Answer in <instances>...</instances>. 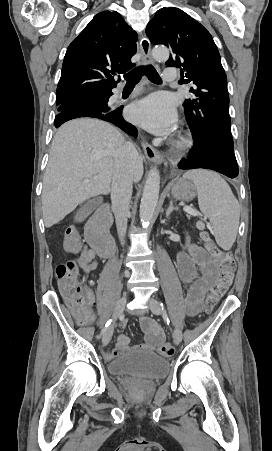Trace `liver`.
<instances>
[{
    "label": "liver",
    "instance_id": "1",
    "mask_svg": "<svg viewBox=\"0 0 272 451\" xmlns=\"http://www.w3.org/2000/svg\"><path fill=\"white\" fill-rule=\"evenodd\" d=\"M124 142L119 130L102 120L78 118L59 128L43 178L46 227L61 222L88 198L109 194L114 156ZM142 176L143 160L138 158L133 182H140Z\"/></svg>",
    "mask_w": 272,
    "mask_h": 451
}]
</instances>
